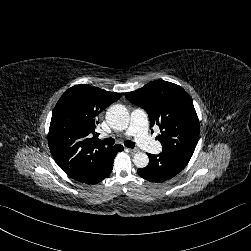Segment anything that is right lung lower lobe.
I'll return each mask as SVG.
<instances>
[{
    "label": "right lung lower lobe",
    "instance_id": "obj_1",
    "mask_svg": "<svg viewBox=\"0 0 251 251\" xmlns=\"http://www.w3.org/2000/svg\"><path fill=\"white\" fill-rule=\"evenodd\" d=\"M122 150H123L122 145L113 146V153L111 155V158L108 160L104 168H102L100 171L95 172L89 178H86L85 180H76V181L86 183V184H96L102 181L104 178L108 177L112 171L113 160L116 154Z\"/></svg>",
    "mask_w": 251,
    "mask_h": 251
}]
</instances>
